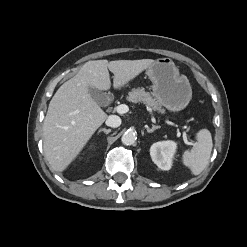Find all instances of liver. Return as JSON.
I'll return each instance as SVG.
<instances>
[{
	"instance_id": "6515ba94",
	"label": "liver",
	"mask_w": 247,
	"mask_h": 247,
	"mask_svg": "<svg viewBox=\"0 0 247 247\" xmlns=\"http://www.w3.org/2000/svg\"><path fill=\"white\" fill-rule=\"evenodd\" d=\"M154 62L152 59L88 61L60 86L43 123L44 152L54 170L64 171L107 118L89 88L109 90L111 71L114 88L121 89Z\"/></svg>"
}]
</instances>
